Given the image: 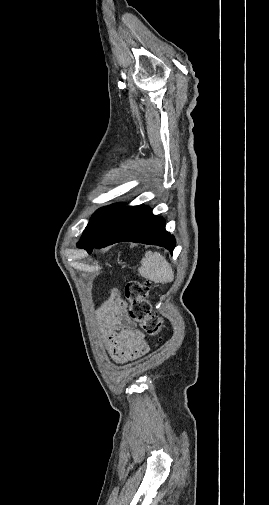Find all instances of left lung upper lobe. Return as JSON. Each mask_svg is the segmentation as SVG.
I'll return each mask as SVG.
<instances>
[{
    "instance_id": "5c2ea615",
    "label": "left lung upper lobe",
    "mask_w": 269,
    "mask_h": 505,
    "mask_svg": "<svg viewBox=\"0 0 269 505\" xmlns=\"http://www.w3.org/2000/svg\"><path fill=\"white\" fill-rule=\"evenodd\" d=\"M124 209V205L117 203L98 209L91 217L78 247L83 248L99 242L111 228L119 214Z\"/></svg>"
}]
</instances>
